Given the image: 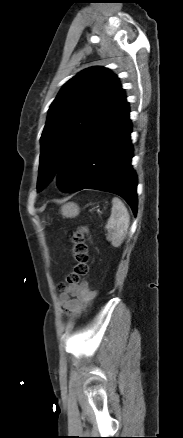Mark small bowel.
Here are the masks:
<instances>
[{"instance_id":"1","label":"small bowel","mask_w":183,"mask_h":438,"mask_svg":"<svg viewBox=\"0 0 183 438\" xmlns=\"http://www.w3.org/2000/svg\"><path fill=\"white\" fill-rule=\"evenodd\" d=\"M96 298V292L85 281L67 286L60 295V303L64 312L70 316H78L86 312Z\"/></svg>"}]
</instances>
